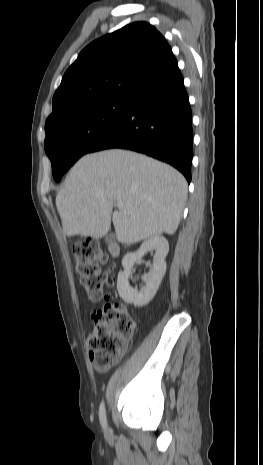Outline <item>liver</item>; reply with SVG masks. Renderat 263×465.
Returning <instances> with one entry per match:
<instances>
[{
	"label": "liver",
	"instance_id": "1",
	"mask_svg": "<svg viewBox=\"0 0 263 465\" xmlns=\"http://www.w3.org/2000/svg\"><path fill=\"white\" fill-rule=\"evenodd\" d=\"M187 182L173 167L132 151L83 156L56 197L63 233L101 238L113 222L118 242L133 244L176 232ZM124 207L113 212L114 203Z\"/></svg>",
	"mask_w": 263,
	"mask_h": 465
}]
</instances>
